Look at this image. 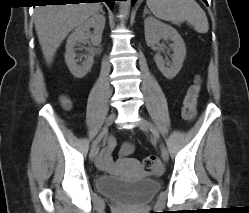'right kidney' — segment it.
I'll use <instances>...</instances> for the list:
<instances>
[{"instance_id": "right-kidney-1", "label": "right kidney", "mask_w": 249, "mask_h": 213, "mask_svg": "<svg viewBox=\"0 0 249 213\" xmlns=\"http://www.w3.org/2000/svg\"><path fill=\"white\" fill-rule=\"evenodd\" d=\"M104 27L105 17L97 13L79 24L67 38L65 62L74 77L83 78L91 70L94 63L93 52L88 50L89 54L85 57L86 60L81 65H78V60L75 59V46L79 43H86L88 40L94 46L99 45L102 40ZM91 28L94 29L93 33L90 32Z\"/></svg>"}]
</instances>
